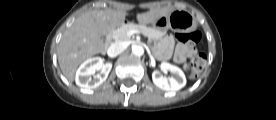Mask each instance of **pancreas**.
Segmentation results:
<instances>
[{"instance_id":"cf45deb5","label":"pancreas","mask_w":276,"mask_h":120,"mask_svg":"<svg viewBox=\"0 0 276 120\" xmlns=\"http://www.w3.org/2000/svg\"><path fill=\"white\" fill-rule=\"evenodd\" d=\"M130 30H138L144 36L148 37L149 39H158L164 35V33L155 30L153 28H149L145 25H137L129 23L127 25L122 26L118 30L113 33V36L116 41H127L130 39L128 36V31Z\"/></svg>"}]
</instances>
